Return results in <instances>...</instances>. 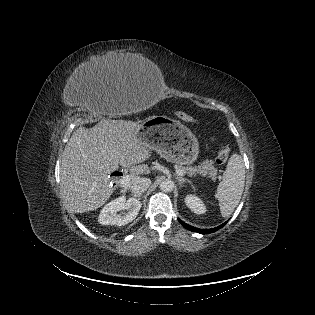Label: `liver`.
Returning a JSON list of instances; mask_svg holds the SVG:
<instances>
[{"mask_svg":"<svg viewBox=\"0 0 315 315\" xmlns=\"http://www.w3.org/2000/svg\"><path fill=\"white\" fill-rule=\"evenodd\" d=\"M140 127L135 121L102 119L90 129L79 127L73 132L60 167L61 189L71 211L84 213L104 205L113 193L110 173L119 165L131 173L123 194L140 174L149 172L146 165L137 166L151 155L138 136Z\"/></svg>","mask_w":315,"mask_h":315,"instance_id":"6515ba94","label":"liver"}]
</instances>
